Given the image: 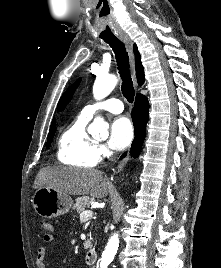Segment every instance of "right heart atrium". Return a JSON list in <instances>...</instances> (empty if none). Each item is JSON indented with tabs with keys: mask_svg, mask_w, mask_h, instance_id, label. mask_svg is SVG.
I'll list each match as a JSON object with an SVG mask.
<instances>
[{
	"mask_svg": "<svg viewBox=\"0 0 221 268\" xmlns=\"http://www.w3.org/2000/svg\"><path fill=\"white\" fill-rule=\"evenodd\" d=\"M98 153L99 156H105L107 154V150L103 145H98Z\"/></svg>",
	"mask_w": 221,
	"mask_h": 268,
	"instance_id": "1",
	"label": "right heart atrium"
}]
</instances>
